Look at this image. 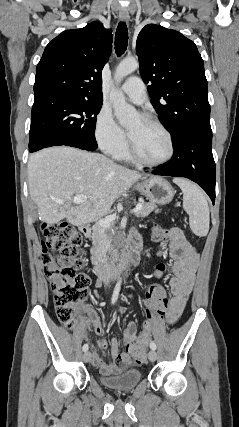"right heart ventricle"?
I'll list each match as a JSON object with an SVG mask.
<instances>
[{
	"instance_id": "right-heart-ventricle-1",
	"label": "right heart ventricle",
	"mask_w": 239,
	"mask_h": 427,
	"mask_svg": "<svg viewBox=\"0 0 239 427\" xmlns=\"http://www.w3.org/2000/svg\"><path fill=\"white\" fill-rule=\"evenodd\" d=\"M113 157L116 158L117 160H122V161H130L131 160V158L128 154V151H127V146H125L120 152H118Z\"/></svg>"
}]
</instances>
